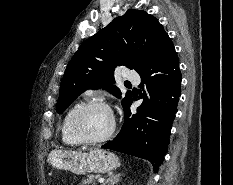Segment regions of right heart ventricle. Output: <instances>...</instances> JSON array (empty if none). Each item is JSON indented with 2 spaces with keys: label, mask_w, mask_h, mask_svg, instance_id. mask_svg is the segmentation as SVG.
<instances>
[{
  "label": "right heart ventricle",
  "mask_w": 233,
  "mask_h": 185,
  "mask_svg": "<svg viewBox=\"0 0 233 185\" xmlns=\"http://www.w3.org/2000/svg\"><path fill=\"white\" fill-rule=\"evenodd\" d=\"M85 104L84 101L74 103L65 113L61 123L62 141L68 146H78L81 143L74 137L71 131V121L76 111Z\"/></svg>",
  "instance_id": "right-heart-ventricle-1"
}]
</instances>
